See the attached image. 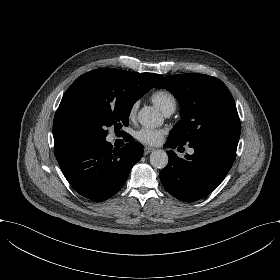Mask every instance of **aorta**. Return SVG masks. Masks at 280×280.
Instances as JSON below:
<instances>
[{"label": "aorta", "instance_id": "762f6f07", "mask_svg": "<svg viewBox=\"0 0 280 280\" xmlns=\"http://www.w3.org/2000/svg\"><path fill=\"white\" fill-rule=\"evenodd\" d=\"M140 124L146 129L157 128L163 125L164 118L160 110L154 106H145L138 113ZM150 163L157 169L166 167L168 155L164 150H155L150 154Z\"/></svg>", "mask_w": 280, "mask_h": 280}]
</instances>
